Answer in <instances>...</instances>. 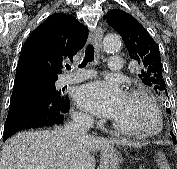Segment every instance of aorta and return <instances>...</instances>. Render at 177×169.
I'll return each instance as SVG.
<instances>
[{
    "instance_id": "762f6f07",
    "label": "aorta",
    "mask_w": 177,
    "mask_h": 169,
    "mask_svg": "<svg viewBox=\"0 0 177 169\" xmlns=\"http://www.w3.org/2000/svg\"><path fill=\"white\" fill-rule=\"evenodd\" d=\"M104 49L106 52H113L120 48L121 41L117 35H107L103 41Z\"/></svg>"
}]
</instances>
